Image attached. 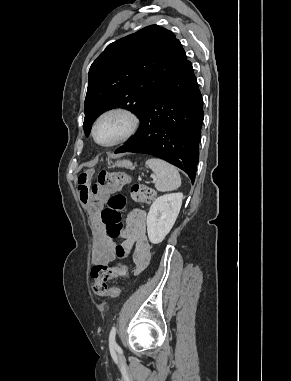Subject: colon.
<instances>
[{"label": "colon", "instance_id": "colon-1", "mask_svg": "<svg viewBox=\"0 0 291 381\" xmlns=\"http://www.w3.org/2000/svg\"><path fill=\"white\" fill-rule=\"evenodd\" d=\"M86 177V174H83ZM128 184V179L120 174L101 171L97 181L89 185L82 175L79 181L81 199L85 204L93 206L100 205L104 200L108 201V206L101 212V222L106 234L111 238H117L123 228L122 210L126 205V197L117 193ZM131 198L140 203H150L154 197V191L145 184L134 183L130 188ZM116 254L119 259L116 265L96 264L91 270V277L94 280L92 289L95 295L100 297H117L119 289L109 287L108 282L118 276H128L130 267L123 259L127 252L123 246H118Z\"/></svg>", "mask_w": 291, "mask_h": 381}]
</instances>
